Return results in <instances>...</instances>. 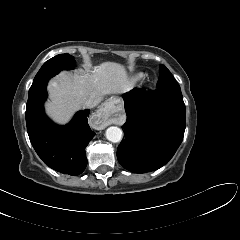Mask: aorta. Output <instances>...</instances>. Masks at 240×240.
<instances>
[{"label": "aorta", "mask_w": 240, "mask_h": 240, "mask_svg": "<svg viewBox=\"0 0 240 240\" xmlns=\"http://www.w3.org/2000/svg\"><path fill=\"white\" fill-rule=\"evenodd\" d=\"M106 138L113 143L120 142L122 140V130L117 126H111L106 130Z\"/></svg>", "instance_id": "1"}]
</instances>
